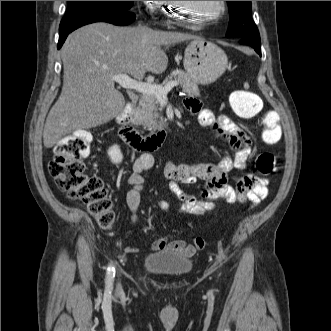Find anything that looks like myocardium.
Returning <instances> with one entry per match:
<instances>
[{
    "instance_id": "obj_1",
    "label": "myocardium",
    "mask_w": 331,
    "mask_h": 331,
    "mask_svg": "<svg viewBox=\"0 0 331 331\" xmlns=\"http://www.w3.org/2000/svg\"><path fill=\"white\" fill-rule=\"evenodd\" d=\"M170 3H172L171 7L169 8L168 11V17L176 24L178 25H193V26H200L206 23H209L213 20H216L218 18H221L226 10V4L225 1H219V10L217 13H215L214 15L198 20V21H191V20H187L184 19L181 14H180V10H182V8H179V6L184 5L183 1H169Z\"/></svg>"
}]
</instances>
